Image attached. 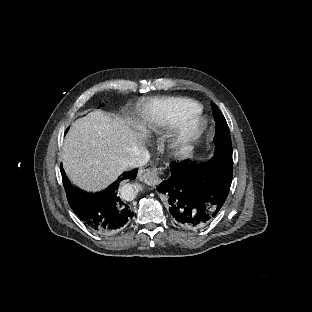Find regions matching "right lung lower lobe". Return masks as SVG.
Instances as JSON below:
<instances>
[{"mask_svg":"<svg viewBox=\"0 0 312 312\" xmlns=\"http://www.w3.org/2000/svg\"><path fill=\"white\" fill-rule=\"evenodd\" d=\"M61 174L70 207L86 227L100 234L110 235L128 226L134 212L122 196L120 186L136 178V169L124 172L105 190L91 194L73 188L62 166Z\"/></svg>","mask_w":312,"mask_h":312,"instance_id":"right-lung-lower-lobe-1","label":"right lung lower lobe"}]
</instances>
